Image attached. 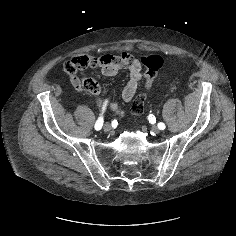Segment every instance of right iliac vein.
I'll return each mask as SVG.
<instances>
[{
	"mask_svg": "<svg viewBox=\"0 0 236 236\" xmlns=\"http://www.w3.org/2000/svg\"><path fill=\"white\" fill-rule=\"evenodd\" d=\"M103 129L105 132H109L111 131L112 127L109 123H105Z\"/></svg>",
	"mask_w": 236,
	"mask_h": 236,
	"instance_id": "obj_1",
	"label": "right iliac vein"
}]
</instances>
